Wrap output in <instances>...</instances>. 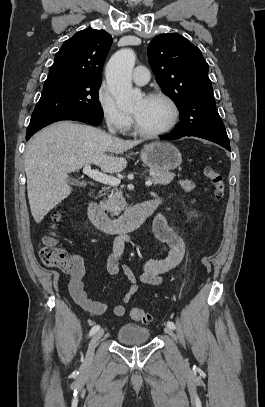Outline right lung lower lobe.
<instances>
[{"mask_svg": "<svg viewBox=\"0 0 265 407\" xmlns=\"http://www.w3.org/2000/svg\"><path fill=\"white\" fill-rule=\"evenodd\" d=\"M62 120H75V121H81L90 125L98 126L102 122V118L96 117L93 115H87V114H81V115H74L67 117ZM34 133L31 134H26V140H28Z\"/></svg>", "mask_w": 265, "mask_h": 407, "instance_id": "1", "label": "right lung lower lobe"}]
</instances>
